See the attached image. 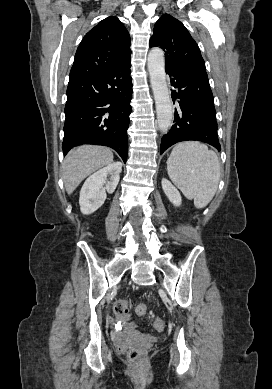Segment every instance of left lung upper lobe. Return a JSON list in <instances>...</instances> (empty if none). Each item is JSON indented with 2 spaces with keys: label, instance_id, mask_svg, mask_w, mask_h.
<instances>
[{
  "label": "left lung upper lobe",
  "instance_id": "1",
  "mask_svg": "<svg viewBox=\"0 0 272 389\" xmlns=\"http://www.w3.org/2000/svg\"><path fill=\"white\" fill-rule=\"evenodd\" d=\"M165 51V69L169 71H205L200 49L185 26L169 14L155 24L150 47Z\"/></svg>",
  "mask_w": 272,
  "mask_h": 389
}]
</instances>
